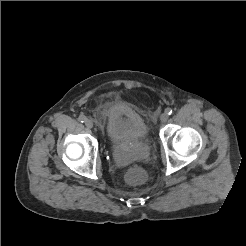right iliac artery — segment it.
Here are the masks:
<instances>
[{
    "mask_svg": "<svg viewBox=\"0 0 246 246\" xmlns=\"http://www.w3.org/2000/svg\"><path fill=\"white\" fill-rule=\"evenodd\" d=\"M85 119H86V118H85L84 116H82V115L78 117V120H79L80 122H82V123L85 121Z\"/></svg>",
    "mask_w": 246,
    "mask_h": 246,
    "instance_id": "82829eb1",
    "label": "right iliac artery"
}]
</instances>
